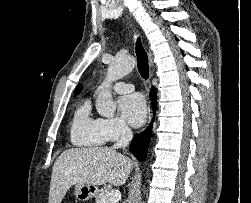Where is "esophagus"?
<instances>
[{
	"label": "esophagus",
	"instance_id": "esophagus-1",
	"mask_svg": "<svg viewBox=\"0 0 251 203\" xmlns=\"http://www.w3.org/2000/svg\"><path fill=\"white\" fill-rule=\"evenodd\" d=\"M151 67H152V62H151ZM149 86H150V83H149ZM152 115H153L152 103H151V101H149V104H148V111H147V122H146L145 128L150 124L151 119H152Z\"/></svg>",
	"mask_w": 251,
	"mask_h": 203
}]
</instances>
